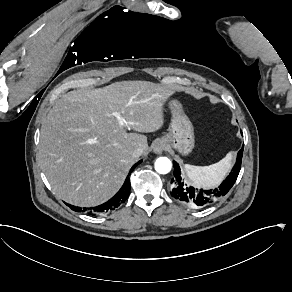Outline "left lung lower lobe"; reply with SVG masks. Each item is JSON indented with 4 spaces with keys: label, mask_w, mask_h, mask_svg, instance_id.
<instances>
[{
    "label": "left lung lower lobe",
    "mask_w": 292,
    "mask_h": 292,
    "mask_svg": "<svg viewBox=\"0 0 292 292\" xmlns=\"http://www.w3.org/2000/svg\"><path fill=\"white\" fill-rule=\"evenodd\" d=\"M243 148L244 146L238 152L237 160L232 169V172L221 183V185L214 190H203L187 187L183 182H181L179 165L173 161L174 178L171 180L173 187L171 190V196L178 200V202L181 204L190 208L208 207L214 202L220 200L230 191L237 180L241 169Z\"/></svg>",
    "instance_id": "0a47b994"
}]
</instances>
